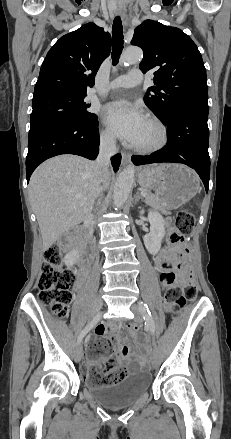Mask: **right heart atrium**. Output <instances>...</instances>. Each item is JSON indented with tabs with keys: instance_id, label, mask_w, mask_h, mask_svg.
<instances>
[{
	"instance_id": "obj_1",
	"label": "right heart atrium",
	"mask_w": 231,
	"mask_h": 439,
	"mask_svg": "<svg viewBox=\"0 0 231 439\" xmlns=\"http://www.w3.org/2000/svg\"><path fill=\"white\" fill-rule=\"evenodd\" d=\"M100 140L105 146H112L114 144V137L111 131L107 128H104L100 132Z\"/></svg>"
}]
</instances>
